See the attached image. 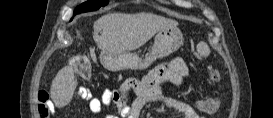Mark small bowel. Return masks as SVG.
<instances>
[{
	"label": "small bowel",
	"mask_w": 273,
	"mask_h": 118,
	"mask_svg": "<svg viewBox=\"0 0 273 118\" xmlns=\"http://www.w3.org/2000/svg\"><path fill=\"white\" fill-rule=\"evenodd\" d=\"M188 76V68L181 58H174L151 70L141 80H129L120 91H105L100 96H93L86 88L80 87L78 93L88 102L89 109L94 114L101 113L103 107L114 105L120 118H139L142 109L147 105H159L166 109L182 113L183 118H199L195 105L169 98L163 95V86L174 83L183 84V78ZM134 91L138 97L131 105L128 104L129 93ZM199 109V108H198Z\"/></svg>",
	"instance_id": "c3829d8e"
}]
</instances>
